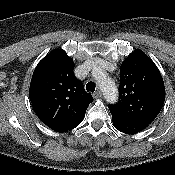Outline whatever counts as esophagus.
<instances>
[{"mask_svg": "<svg viewBox=\"0 0 175 175\" xmlns=\"http://www.w3.org/2000/svg\"><path fill=\"white\" fill-rule=\"evenodd\" d=\"M102 96V92L100 90H97L94 94L93 97L94 98H100Z\"/></svg>", "mask_w": 175, "mask_h": 175, "instance_id": "obj_1", "label": "esophagus"}]
</instances>
